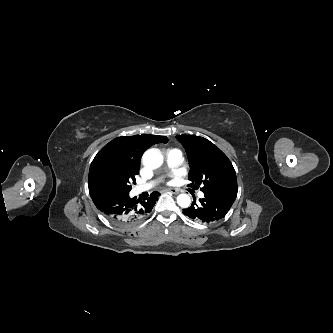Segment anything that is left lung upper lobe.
Wrapping results in <instances>:
<instances>
[{
	"mask_svg": "<svg viewBox=\"0 0 333 333\" xmlns=\"http://www.w3.org/2000/svg\"><path fill=\"white\" fill-rule=\"evenodd\" d=\"M189 159L190 187L202 186L205 195L234 201L237 196V179L227 156L209 140L192 135H177Z\"/></svg>",
	"mask_w": 333,
	"mask_h": 333,
	"instance_id": "5c2ea615",
	"label": "left lung upper lobe"
}]
</instances>
